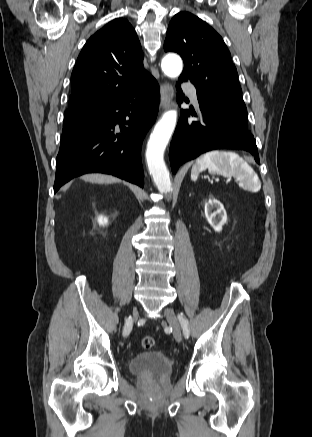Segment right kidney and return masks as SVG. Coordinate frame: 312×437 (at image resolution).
Instances as JSON below:
<instances>
[{"instance_id": "1", "label": "right kidney", "mask_w": 312, "mask_h": 437, "mask_svg": "<svg viewBox=\"0 0 312 437\" xmlns=\"http://www.w3.org/2000/svg\"><path fill=\"white\" fill-rule=\"evenodd\" d=\"M98 223H99L100 225H106V224L108 223V219H107L106 217L99 216V217H98Z\"/></svg>"}]
</instances>
